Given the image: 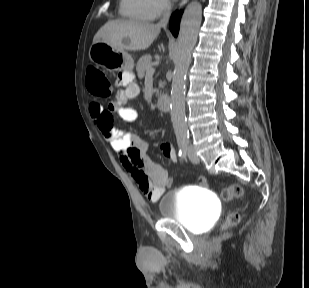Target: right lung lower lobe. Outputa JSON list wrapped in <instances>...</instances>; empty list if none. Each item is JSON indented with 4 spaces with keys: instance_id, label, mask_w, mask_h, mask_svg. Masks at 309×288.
I'll list each match as a JSON object with an SVG mask.
<instances>
[{
    "instance_id": "98d812e1",
    "label": "right lung lower lobe",
    "mask_w": 309,
    "mask_h": 288,
    "mask_svg": "<svg viewBox=\"0 0 309 288\" xmlns=\"http://www.w3.org/2000/svg\"><path fill=\"white\" fill-rule=\"evenodd\" d=\"M180 14L181 12H175L170 21V30L174 36L178 35Z\"/></svg>"
}]
</instances>
